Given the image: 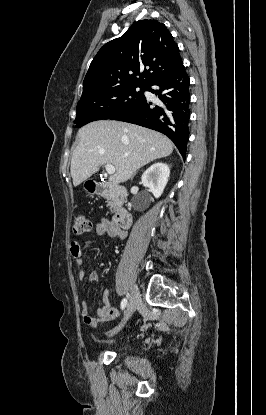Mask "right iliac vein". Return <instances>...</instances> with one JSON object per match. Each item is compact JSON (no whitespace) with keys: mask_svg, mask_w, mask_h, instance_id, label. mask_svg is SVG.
<instances>
[{"mask_svg":"<svg viewBox=\"0 0 266 415\" xmlns=\"http://www.w3.org/2000/svg\"><path fill=\"white\" fill-rule=\"evenodd\" d=\"M139 303H140L139 290L136 286H132L131 291H130V295H129L128 306L125 310L124 317H123L121 323L117 327H115L113 330H111L109 336L115 335L116 333H118L123 328L125 323L128 321V319L132 316V314L136 310V307L138 306Z\"/></svg>","mask_w":266,"mask_h":415,"instance_id":"obj_1","label":"right iliac vein"}]
</instances>
